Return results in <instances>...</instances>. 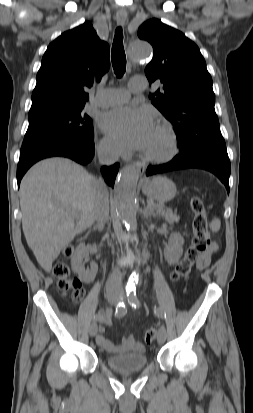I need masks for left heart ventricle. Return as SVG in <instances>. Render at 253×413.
I'll return each instance as SVG.
<instances>
[{"label":"left heart ventricle","mask_w":253,"mask_h":413,"mask_svg":"<svg viewBox=\"0 0 253 413\" xmlns=\"http://www.w3.org/2000/svg\"><path fill=\"white\" fill-rule=\"evenodd\" d=\"M167 146L168 143L165 134L157 126H154L149 142L144 149L159 154L165 152Z\"/></svg>","instance_id":"left-heart-ventricle-1"}]
</instances>
